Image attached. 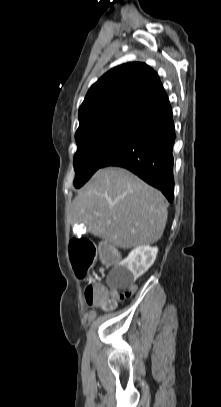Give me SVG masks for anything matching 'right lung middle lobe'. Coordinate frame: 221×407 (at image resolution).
<instances>
[{
	"instance_id": "1",
	"label": "right lung middle lobe",
	"mask_w": 221,
	"mask_h": 407,
	"mask_svg": "<svg viewBox=\"0 0 221 407\" xmlns=\"http://www.w3.org/2000/svg\"><path fill=\"white\" fill-rule=\"evenodd\" d=\"M138 124H116L85 134L76 140L74 155L76 177L74 186L80 188L101 164L134 132Z\"/></svg>"
}]
</instances>
